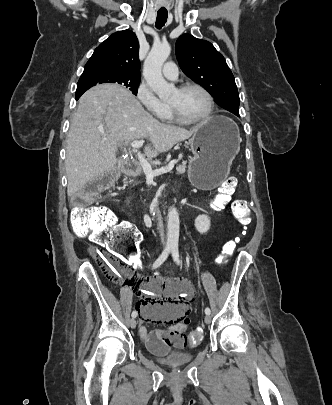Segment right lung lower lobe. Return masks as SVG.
<instances>
[{"label":"right lung lower lobe","instance_id":"1","mask_svg":"<svg viewBox=\"0 0 332 405\" xmlns=\"http://www.w3.org/2000/svg\"><path fill=\"white\" fill-rule=\"evenodd\" d=\"M82 94H83V93L76 94V100H78L79 97H80Z\"/></svg>","mask_w":332,"mask_h":405}]
</instances>
